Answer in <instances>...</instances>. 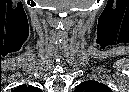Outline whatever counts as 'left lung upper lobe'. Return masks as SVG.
<instances>
[{
    "mask_svg": "<svg viewBox=\"0 0 129 92\" xmlns=\"http://www.w3.org/2000/svg\"><path fill=\"white\" fill-rule=\"evenodd\" d=\"M76 92H111V90L104 84L98 81H86L80 84Z\"/></svg>",
    "mask_w": 129,
    "mask_h": 92,
    "instance_id": "obj_1",
    "label": "left lung upper lobe"
}]
</instances>
